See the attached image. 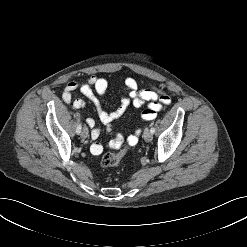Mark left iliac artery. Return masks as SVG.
Instances as JSON below:
<instances>
[{"mask_svg": "<svg viewBox=\"0 0 247 247\" xmlns=\"http://www.w3.org/2000/svg\"><path fill=\"white\" fill-rule=\"evenodd\" d=\"M150 131H151V133L153 134V133L155 132V128L152 127V128L150 129Z\"/></svg>", "mask_w": 247, "mask_h": 247, "instance_id": "obj_1", "label": "left iliac artery"}]
</instances>
